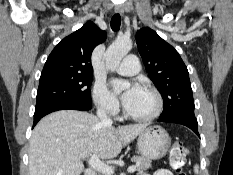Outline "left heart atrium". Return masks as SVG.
<instances>
[{
    "instance_id": "1",
    "label": "left heart atrium",
    "mask_w": 233,
    "mask_h": 175,
    "mask_svg": "<svg viewBox=\"0 0 233 175\" xmlns=\"http://www.w3.org/2000/svg\"><path fill=\"white\" fill-rule=\"evenodd\" d=\"M113 84L115 86L120 85L121 81L115 80ZM141 89L142 88L138 83H131L129 87L122 94V101L124 105L129 104L133 100V98L140 92Z\"/></svg>"
}]
</instances>
